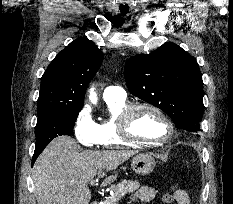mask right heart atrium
Here are the masks:
<instances>
[{
  "mask_svg": "<svg viewBox=\"0 0 233 204\" xmlns=\"http://www.w3.org/2000/svg\"><path fill=\"white\" fill-rule=\"evenodd\" d=\"M73 132L76 140L83 146L92 148L99 145L97 123L94 121L90 109L86 106L77 113Z\"/></svg>",
  "mask_w": 233,
  "mask_h": 204,
  "instance_id": "obj_1",
  "label": "right heart atrium"
}]
</instances>
